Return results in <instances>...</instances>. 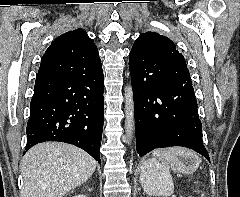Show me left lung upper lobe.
Instances as JSON below:
<instances>
[{"mask_svg":"<svg viewBox=\"0 0 240 197\" xmlns=\"http://www.w3.org/2000/svg\"><path fill=\"white\" fill-rule=\"evenodd\" d=\"M130 70L157 71L162 75L190 80L186 62L175 44L167 37L154 32L141 34L135 41L129 59Z\"/></svg>","mask_w":240,"mask_h":197,"instance_id":"1","label":"left lung upper lobe"}]
</instances>
